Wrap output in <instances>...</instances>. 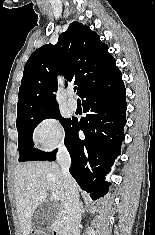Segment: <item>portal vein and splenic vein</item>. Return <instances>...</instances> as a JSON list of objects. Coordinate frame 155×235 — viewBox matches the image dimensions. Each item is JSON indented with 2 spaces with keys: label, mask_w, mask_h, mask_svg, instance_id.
Wrapping results in <instances>:
<instances>
[{
  "label": "portal vein and splenic vein",
  "mask_w": 155,
  "mask_h": 235,
  "mask_svg": "<svg viewBox=\"0 0 155 235\" xmlns=\"http://www.w3.org/2000/svg\"><path fill=\"white\" fill-rule=\"evenodd\" d=\"M51 198L54 200H60V196L58 194L52 193Z\"/></svg>",
  "instance_id": "18ae733b"
}]
</instances>
